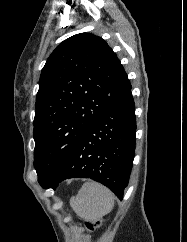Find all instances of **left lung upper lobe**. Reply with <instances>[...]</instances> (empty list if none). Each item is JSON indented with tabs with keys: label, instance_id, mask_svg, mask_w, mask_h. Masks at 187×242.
Wrapping results in <instances>:
<instances>
[{
	"label": "left lung upper lobe",
	"instance_id": "left-lung-upper-lobe-1",
	"mask_svg": "<svg viewBox=\"0 0 187 242\" xmlns=\"http://www.w3.org/2000/svg\"><path fill=\"white\" fill-rule=\"evenodd\" d=\"M131 89L105 40L90 33L63 41L42 69L34 118V167L51 173L88 127Z\"/></svg>",
	"mask_w": 187,
	"mask_h": 242
}]
</instances>
